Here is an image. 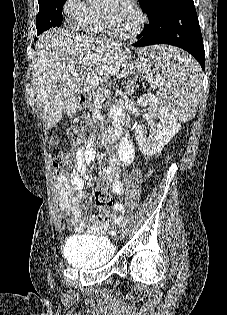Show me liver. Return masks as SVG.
Returning <instances> with one entry per match:
<instances>
[{
  "instance_id": "1",
  "label": "liver",
  "mask_w": 227,
  "mask_h": 315,
  "mask_svg": "<svg viewBox=\"0 0 227 315\" xmlns=\"http://www.w3.org/2000/svg\"><path fill=\"white\" fill-rule=\"evenodd\" d=\"M122 60L121 51L109 41L64 28L41 34L35 45L32 85L43 107L45 127L52 128L63 114L77 111L78 95L88 77L110 73Z\"/></svg>"
}]
</instances>
